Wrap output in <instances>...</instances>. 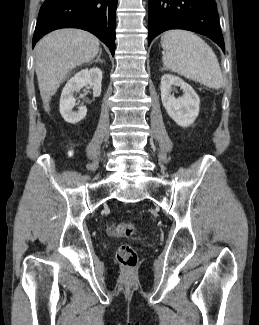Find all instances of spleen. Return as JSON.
Instances as JSON below:
<instances>
[{
    "instance_id": "3e777b00",
    "label": "spleen",
    "mask_w": 259,
    "mask_h": 325,
    "mask_svg": "<svg viewBox=\"0 0 259 325\" xmlns=\"http://www.w3.org/2000/svg\"><path fill=\"white\" fill-rule=\"evenodd\" d=\"M161 45L162 60L168 69L209 88L222 87L218 59L201 37L185 30H170L161 38Z\"/></svg>"
}]
</instances>
